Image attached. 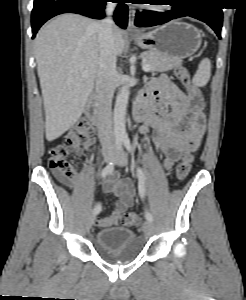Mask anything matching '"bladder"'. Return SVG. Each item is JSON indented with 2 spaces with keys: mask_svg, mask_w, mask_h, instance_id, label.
I'll return each mask as SVG.
<instances>
[{
  "mask_svg": "<svg viewBox=\"0 0 246 300\" xmlns=\"http://www.w3.org/2000/svg\"><path fill=\"white\" fill-rule=\"evenodd\" d=\"M95 247L109 259L120 262L131 261L142 252V242L135 232L123 226L99 230L95 236Z\"/></svg>",
  "mask_w": 246,
  "mask_h": 300,
  "instance_id": "bladder-1",
  "label": "bladder"
}]
</instances>
